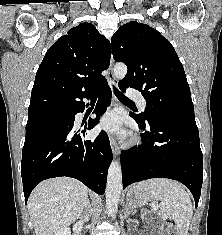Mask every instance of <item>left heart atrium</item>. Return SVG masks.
<instances>
[{"label": "left heart atrium", "mask_w": 222, "mask_h": 235, "mask_svg": "<svg viewBox=\"0 0 222 235\" xmlns=\"http://www.w3.org/2000/svg\"><path fill=\"white\" fill-rule=\"evenodd\" d=\"M100 127L106 131L121 133V117L118 112H109L101 118Z\"/></svg>", "instance_id": "39dd6f15"}]
</instances>
